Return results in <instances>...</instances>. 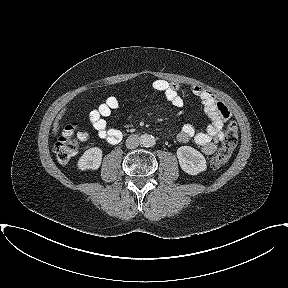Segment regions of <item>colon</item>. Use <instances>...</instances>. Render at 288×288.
Wrapping results in <instances>:
<instances>
[{
  "label": "colon",
  "instance_id": "colon-1",
  "mask_svg": "<svg viewBox=\"0 0 288 288\" xmlns=\"http://www.w3.org/2000/svg\"><path fill=\"white\" fill-rule=\"evenodd\" d=\"M86 137V134L78 129L76 123L66 126L54 144V153L58 161L67 163L77 153L79 145ZM238 139L237 125L234 121H230L223 136L221 148L210 159V166L213 169H217L229 161L237 147Z\"/></svg>",
  "mask_w": 288,
  "mask_h": 288
}]
</instances>
